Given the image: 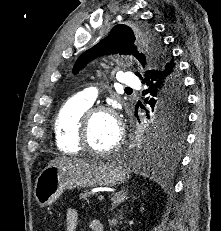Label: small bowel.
<instances>
[{
    "label": "small bowel",
    "instance_id": "small-bowel-1",
    "mask_svg": "<svg viewBox=\"0 0 221 231\" xmlns=\"http://www.w3.org/2000/svg\"><path fill=\"white\" fill-rule=\"evenodd\" d=\"M78 224V212L75 208H69L66 214V227L65 231H75ZM93 226H97L103 231V224L99 220H93L90 224L92 229Z\"/></svg>",
    "mask_w": 221,
    "mask_h": 231
}]
</instances>
